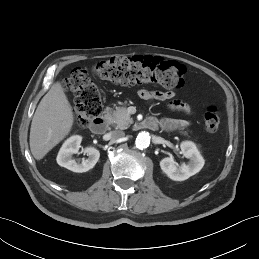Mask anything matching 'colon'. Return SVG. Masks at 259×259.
I'll return each mask as SVG.
<instances>
[{
	"label": "colon",
	"instance_id": "obj_1",
	"mask_svg": "<svg viewBox=\"0 0 259 259\" xmlns=\"http://www.w3.org/2000/svg\"><path fill=\"white\" fill-rule=\"evenodd\" d=\"M93 74L116 84H156L168 89L184 86L185 68L176 61L153 56L115 57L95 64ZM65 88L75 96L74 112L79 126L86 127L101 111V92L87 70L74 68L65 81ZM221 115L217 107L209 106L204 114V126L214 132Z\"/></svg>",
	"mask_w": 259,
	"mask_h": 259
}]
</instances>
